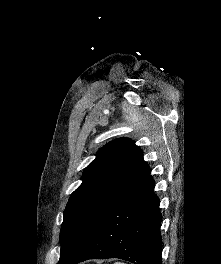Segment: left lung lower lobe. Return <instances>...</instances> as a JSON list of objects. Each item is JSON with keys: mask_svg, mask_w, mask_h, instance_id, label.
Listing matches in <instances>:
<instances>
[{"mask_svg": "<svg viewBox=\"0 0 221 264\" xmlns=\"http://www.w3.org/2000/svg\"><path fill=\"white\" fill-rule=\"evenodd\" d=\"M154 186L149 175L57 264L107 258L134 264H162V216Z\"/></svg>", "mask_w": 221, "mask_h": 264, "instance_id": "obj_1", "label": "left lung lower lobe"}]
</instances>
